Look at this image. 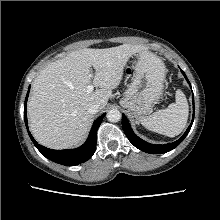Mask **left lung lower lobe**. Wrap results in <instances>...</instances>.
I'll use <instances>...</instances> for the list:
<instances>
[{
	"label": "left lung lower lobe",
	"mask_w": 220,
	"mask_h": 220,
	"mask_svg": "<svg viewBox=\"0 0 220 220\" xmlns=\"http://www.w3.org/2000/svg\"><path fill=\"white\" fill-rule=\"evenodd\" d=\"M183 76L185 77V79L187 80V82L189 83L190 87L191 84L187 78V76L185 75L184 71H182ZM192 100H193V118H192V122L189 125V127L187 128L186 132L183 134V136L178 139L177 141L173 142V143H169V144H164V145H154V144H150L147 143L146 141L140 139L138 136L135 135V133L132 131V128L127 120V118L125 117V115H122V128L123 131L125 133V135L127 136L128 140L139 150L144 151L146 153H150V154H159V153H166L169 152L171 150H173L174 148H176L183 140L184 138L187 136L188 132L191 129V126L193 124V120H194V97L192 95Z\"/></svg>",
	"instance_id": "0a47b994"
}]
</instances>
